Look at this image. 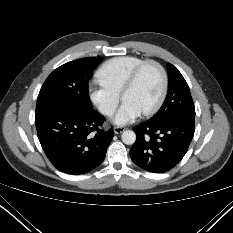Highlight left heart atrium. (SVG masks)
<instances>
[{"instance_id": "1", "label": "left heart atrium", "mask_w": 233, "mask_h": 233, "mask_svg": "<svg viewBox=\"0 0 233 233\" xmlns=\"http://www.w3.org/2000/svg\"><path fill=\"white\" fill-rule=\"evenodd\" d=\"M141 111L128 101H124L114 117V122L118 125H125L141 115Z\"/></svg>"}]
</instances>
